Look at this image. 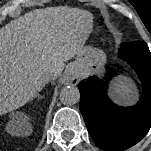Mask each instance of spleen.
<instances>
[{
	"label": "spleen",
	"mask_w": 151,
	"mask_h": 151,
	"mask_svg": "<svg viewBox=\"0 0 151 151\" xmlns=\"http://www.w3.org/2000/svg\"><path fill=\"white\" fill-rule=\"evenodd\" d=\"M134 93V85L126 77H117L110 85V94L118 103L127 104L131 102Z\"/></svg>",
	"instance_id": "spleen-1"
}]
</instances>
